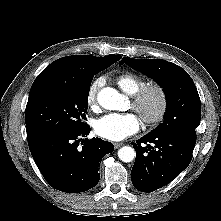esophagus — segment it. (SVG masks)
<instances>
[{
	"instance_id": "1",
	"label": "esophagus",
	"mask_w": 221,
	"mask_h": 221,
	"mask_svg": "<svg viewBox=\"0 0 221 221\" xmlns=\"http://www.w3.org/2000/svg\"><path fill=\"white\" fill-rule=\"evenodd\" d=\"M123 145V143H114V148L118 149Z\"/></svg>"
}]
</instances>
